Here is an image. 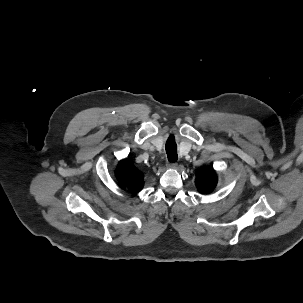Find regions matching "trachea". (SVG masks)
Here are the masks:
<instances>
[{"label":"trachea","instance_id":"1","mask_svg":"<svg viewBox=\"0 0 303 303\" xmlns=\"http://www.w3.org/2000/svg\"><path fill=\"white\" fill-rule=\"evenodd\" d=\"M168 160L170 162H176L178 159L177 154V144L175 142L174 136L170 135L165 145Z\"/></svg>","mask_w":303,"mask_h":303}]
</instances>
